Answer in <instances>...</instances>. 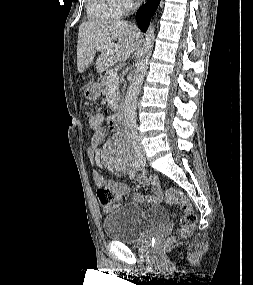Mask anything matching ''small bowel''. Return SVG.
<instances>
[{"label":"small bowel","instance_id":"obj_1","mask_svg":"<svg viewBox=\"0 0 253 285\" xmlns=\"http://www.w3.org/2000/svg\"><path fill=\"white\" fill-rule=\"evenodd\" d=\"M103 118H110V113H103ZM100 116L101 125L98 127H92L95 129V133L90 141L88 147V154L91 157H94L98 152L102 142L106 138L108 134V129L102 126L103 118ZM105 126L109 125L108 121L104 122ZM133 170V169H132ZM140 185L151 186L153 190V194L149 196H143L141 194H135V199L141 202H148L153 204H161L164 199L163 188L161 181L154 176H139L135 179ZM94 181L100 187H108L113 189L118 195H126L130 192L129 187L121 182L113 181V180H105L98 172L94 173ZM109 205H104V210H108Z\"/></svg>","mask_w":253,"mask_h":285}]
</instances>
